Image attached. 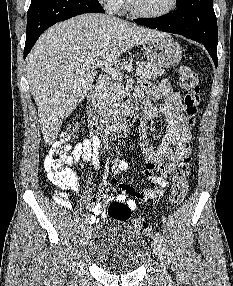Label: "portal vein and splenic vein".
<instances>
[{"label": "portal vein and splenic vein", "instance_id": "portal-vein-and-splenic-vein-1", "mask_svg": "<svg viewBox=\"0 0 233 286\" xmlns=\"http://www.w3.org/2000/svg\"><path fill=\"white\" fill-rule=\"evenodd\" d=\"M91 64H92V67H95V66L101 67L104 71L108 72V74H110L112 77L116 79H121V73L117 69L111 67L110 65L103 64V63H96L95 61H92ZM86 65H88V63ZM86 65H84V68ZM141 73H142V70L138 68L136 70V74L140 75Z\"/></svg>", "mask_w": 233, "mask_h": 286}]
</instances>
